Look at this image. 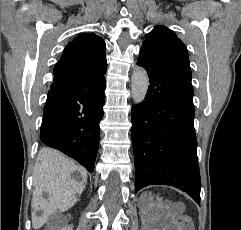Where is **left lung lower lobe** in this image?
I'll use <instances>...</instances> for the list:
<instances>
[{
  "label": "left lung lower lobe",
  "mask_w": 241,
  "mask_h": 230,
  "mask_svg": "<svg viewBox=\"0 0 241 230\" xmlns=\"http://www.w3.org/2000/svg\"><path fill=\"white\" fill-rule=\"evenodd\" d=\"M145 100L132 108L136 192L148 185H171L200 202L191 80L149 66Z\"/></svg>",
  "instance_id": "0a47b994"
}]
</instances>
